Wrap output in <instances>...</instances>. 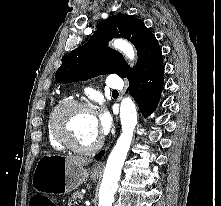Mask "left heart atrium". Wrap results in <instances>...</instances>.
Returning <instances> with one entry per match:
<instances>
[{"instance_id":"obj_1","label":"left heart atrium","mask_w":221,"mask_h":206,"mask_svg":"<svg viewBox=\"0 0 221 206\" xmlns=\"http://www.w3.org/2000/svg\"><path fill=\"white\" fill-rule=\"evenodd\" d=\"M94 122L98 133H106L110 127V118L109 115L101 110L98 113L93 114Z\"/></svg>"}]
</instances>
